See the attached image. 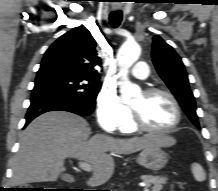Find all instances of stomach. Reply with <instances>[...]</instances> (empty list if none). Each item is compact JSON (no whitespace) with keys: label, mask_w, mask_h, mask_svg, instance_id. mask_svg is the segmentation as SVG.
<instances>
[{"label":"stomach","mask_w":218,"mask_h":191,"mask_svg":"<svg viewBox=\"0 0 218 191\" xmlns=\"http://www.w3.org/2000/svg\"><path fill=\"white\" fill-rule=\"evenodd\" d=\"M137 163L144 168L158 171L164 168L168 162V155L160 146L147 147L137 156Z\"/></svg>","instance_id":"obj_1"}]
</instances>
